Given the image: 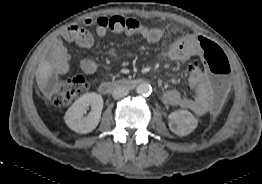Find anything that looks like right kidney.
<instances>
[{
  "mask_svg": "<svg viewBox=\"0 0 262 184\" xmlns=\"http://www.w3.org/2000/svg\"><path fill=\"white\" fill-rule=\"evenodd\" d=\"M91 107V111L87 116V109ZM103 109V98L97 93H88L76 100L73 105L65 113V122L67 126L81 134L93 131L101 118Z\"/></svg>",
  "mask_w": 262,
  "mask_h": 184,
  "instance_id": "obj_1",
  "label": "right kidney"
}]
</instances>
